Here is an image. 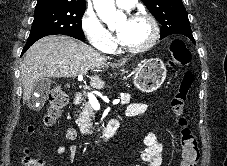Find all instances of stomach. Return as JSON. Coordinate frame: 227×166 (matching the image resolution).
<instances>
[{
    "mask_svg": "<svg viewBox=\"0 0 227 166\" xmlns=\"http://www.w3.org/2000/svg\"><path fill=\"white\" fill-rule=\"evenodd\" d=\"M167 69L159 58L141 61L133 78L134 85L142 92L156 91L165 81Z\"/></svg>",
    "mask_w": 227,
    "mask_h": 166,
    "instance_id": "0dacf381",
    "label": "stomach"
}]
</instances>
